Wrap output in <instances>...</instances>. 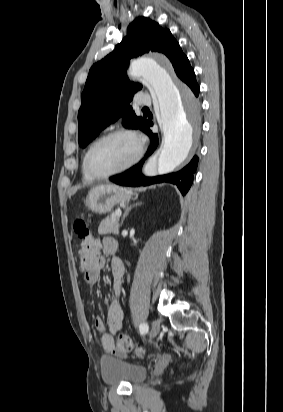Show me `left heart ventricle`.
<instances>
[{
  "label": "left heart ventricle",
  "mask_w": 283,
  "mask_h": 412,
  "mask_svg": "<svg viewBox=\"0 0 283 412\" xmlns=\"http://www.w3.org/2000/svg\"><path fill=\"white\" fill-rule=\"evenodd\" d=\"M137 153L136 141L117 135L99 144L90 156V166L97 174L114 171L129 163Z\"/></svg>",
  "instance_id": "b2bd125f"
}]
</instances>
